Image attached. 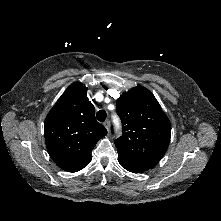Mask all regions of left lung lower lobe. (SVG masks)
<instances>
[{"instance_id": "0a47b994", "label": "left lung lower lobe", "mask_w": 221, "mask_h": 221, "mask_svg": "<svg viewBox=\"0 0 221 221\" xmlns=\"http://www.w3.org/2000/svg\"><path fill=\"white\" fill-rule=\"evenodd\" d=\"M118 161L123 168H125L126 170H128L132 173H141V172L145 171L144 169L138 167L137 165H135L127 160L118 158Z\"/></svg>"}]
</instances>
